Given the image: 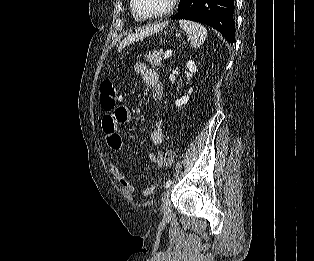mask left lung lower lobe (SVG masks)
<instances>
[{
	"mask_svg": "<svg viewBox=\"0 0 314 261\" xmlns=\"http://www.w3.org/2000/svg\"><path fill=\"white\" fill-rule=\"evenodd\" d=\"M234 0H184L173 20L186 19L207 24L223 34L233 43Z\"/></svg>",
	"mask_w": 314,
	"mask_h": 261,
	"instance_id": "1",
	"label": "left lung lower lobe"
}]
</instances>
